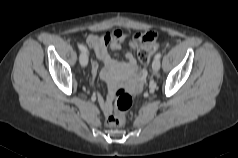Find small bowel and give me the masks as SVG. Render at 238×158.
Masks as SVG:
<instances>
[{
  "mask_svg": "<svg viewBox=\"0 0 238 158\" xmlns=\"http://www.w3.org/2000/svg\"><path fill=\"white\" fill-rule=\"evenodd\" d=\"M146 35H155L152 32L137 33L132 38L130 44L133 48L140 45H148L150 42L144 39ZM156 36V35H155ZM126 40V35L120 31L115 30L107 32L103 35L91 34L86 38V44L93 50L96 57L102 62L103 68L100 71V76L103 80L107 81L110 87H114L115 80L118 77L129 75L131 77V85L137 88L144 78V71L140 70L135 57L130 53H125V62L119 63L110 54L109 50L118 51L121 44ZM99 65L93 62L91 65L92 74L98 72ZM99 102L103 111L108 114L112 110V105L109 100L99 97Z\"/></svg>",
  "mask_w": 238,
  "mask_h": 158,
  "instance_id": "1",
  "label": "small bowel"
}]
</instances>
